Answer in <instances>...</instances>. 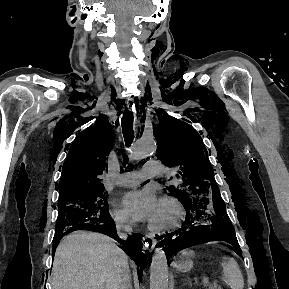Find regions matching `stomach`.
I'll list each match as a JSON object with an SVG mask.
<instances>
[{"label":"stomach","instance_id":"stomach-1","mask_svg":"<svg viewBox=\"0 0 289 289\" xmlns=\"http://www.w3.org/2000/svg\"><path fill=\"white\" fill-rule=\"evenodd\" d=\"M193 267L192 261V252L191 251H184L182 253L181 259L177 262L176 268L180 272H187L191 270Z\"/></svg>","mask_w":289,"mask_h":289}]
</instances>
